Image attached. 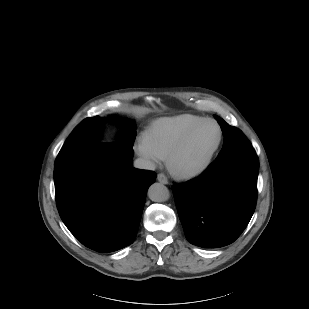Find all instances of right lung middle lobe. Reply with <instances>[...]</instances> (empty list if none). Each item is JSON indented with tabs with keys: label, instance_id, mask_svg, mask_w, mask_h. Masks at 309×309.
<instances>
[{
	"label": "right lung middle lobe",
	"instance_id": "1",
	"mask_svg": "<svg viewBox=\"0 0 309 309\" xmlns=\"http://www.w3.org/2000/svg\"><path fill=\"white\" fill-rule=\"evenodd\" d=\"M103 120L104 119L100 116L89 117L83 120L65 141L56 158L55 167L60 166L68 158L83 150L91 143L97 142L101 137V125ZM135 137V125L132 122L125 121L119 142L132 147Z\"/></svg>",
	"mask_w": 309,
	"mask_h": 309
}]
</instances>
